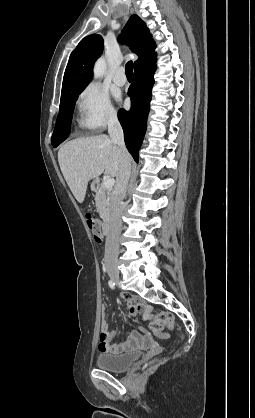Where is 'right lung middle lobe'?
Returning <instances> with one entry per match:
<instances>
[{"label":"right lung middle lobe","instance_id":"obj_1","mask_svg":"<svg viewBox=\"0 0 255 418\" xmlns=\"http://www.w3.org/2000/svg\"><path fill=\"white\" fill-rule=\"evenodd\" d=\"M84 89L73 90L61 94V101L59 106V114L56 121V126L52 135V145L57 147L62 143L70 133L71 120L74 106L79 94Z\"/></svg>","mask_w":255,"mask_h":418}]
</instances>
